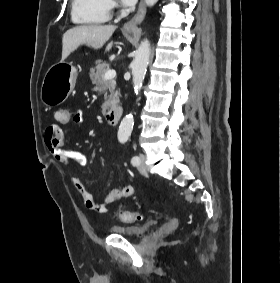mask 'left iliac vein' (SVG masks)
I'll use <instances>...</instances> for the list:
<instances>
[{
	"instance_id": "4c4485c4",
	"label": "left iliac vein",
	"mask_w": 280,
	"mask_h": 283,
	"mask_svg": "<svg viewBox=\"0 0 280 283\" xmlns=\"http://www.w3.org/2000/svg\"><path fill=\"white\" fill-rule=\"evenodd\" d=\"M146 161V157L144 154H140L139 155V163L137 165L138 171L142 174V175H147L148 174V168L147 165L145 163Z\"/></svg>"
}]
</instances>
